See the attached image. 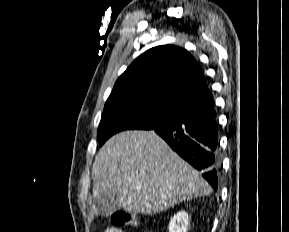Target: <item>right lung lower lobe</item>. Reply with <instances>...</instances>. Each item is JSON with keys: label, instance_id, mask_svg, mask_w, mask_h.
<instances>
[{"label": "right lung lower lobe", "instance_id": "1", "mask_svg": "<svg viewBox=\"0 0 289 232\" xmlns=\"http://www.w3.org/2000/svg\"><path fill=\"white\" fill-rule=\"evenodd\" d=\"M216 117L212 100L206 105L181 109L175 119L152 129L183 159L202 171L214 190L221 164Z\"/></svg>", "mask_w": 289, "mask_h": 232}]
</instances>
